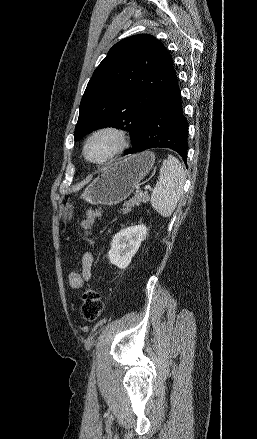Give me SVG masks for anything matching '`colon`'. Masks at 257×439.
<instances>
[{"instance_id":"obj_1","label":"colon","mask_w":257,"mask_h":439,"mask_svg":"<svg viewBox=\"0 0 257 439\" xmlns=\"http://www.w3.org/2000/svg\"><path fill=\"white\" fill-rule=\"evenodd\" d=\"M100 208H91L86 212L82 221V228L89 236L94 223L100 217ZM69 284L72 288H80L82 285L81 271H73L69 274ZM103 302L100 292L95 288L87 289L82 295L81 314L86 321L96 320L102 313Z\"/></svg>"}]
</instances>
